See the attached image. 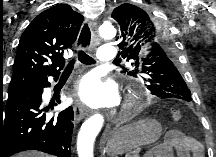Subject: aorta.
Wrapping results in <instances>:
<instances>
[{
	"instance_id": "762f6f07",
	"label": "aorta",
	"mask_w": 216,
	"mask_h": 157,
	"mask_svg": "<svg viewBox=\"0 0 216 157\" xmlns=\"http://www.w3.org/2000/svg\"><path fill=\"white\" fill-rule=\"evenodd\" d=\"M99 34L103 39H113L116 29L110 22H105L99 27ZM104 123L101 114H94L81 126L77 140V151L79 157H93L94 141Z\"/></svg>"
}]
</instances>
